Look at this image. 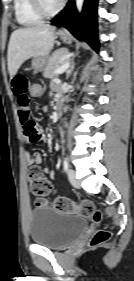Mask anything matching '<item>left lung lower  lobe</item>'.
Returning a JSON list of instances; mask_svg holds the SVG:
<instances>
[{
  "instance_id": "left-lung-lower-lobe-1",
  "label": "left lung lower lobe",
  "mask_w": 134,
  "mask_h": 281,
  "mask_svg": "<svg viewBox=\"0 0 134 281\" xmlns=\"http://www.w3.org/2000/svg\"><path fill=\"white\" fill-rule=\"evenodd\" d=\"M97 2L98 0H85L84 8L80 15L77 13L75 4L69 2L64 12L52 19L51 23L52 25L65 27L75 37L83 39L98 52Z\"/></svg>"
}]
</instances>
